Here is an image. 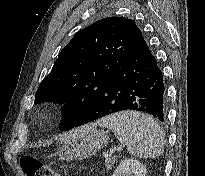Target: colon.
I'll return each mask as SVG.
<instances>
[{"label": "colon", "instance_id": "1", "mask_svg": "<svg viewBox=\"0 0 205 176\" xmlns=\"http://www.w3.org/2000/svg\"><path fill=\"white\" fill-rule=\"evenodd\" d=\"M19 164L26 176H58L32 156H24Z\"/></svg>", "mask_w": 205, "mask_h": 176}]
</instances>
